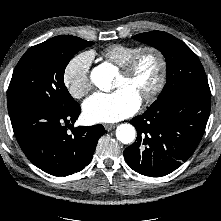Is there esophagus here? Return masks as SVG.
Returning <instances> with one entry per match:
<instances>
[{
	"instance_id": "esophagus-1",
	"label": "esophagus",
	"mask_w": 221,
	"mask_h": 221,
	"mask_svg": "<svg viewBox=\"0 0 221 221\" xmlns=\"http://www.w3.org/2000/svg\"><path fill=\"white\" fill-rule=\"evenodd\" d=\"M104 127H105L106 131H111L115 128V125H113V124H104Z\"/></svg>"
}]
</instances>
